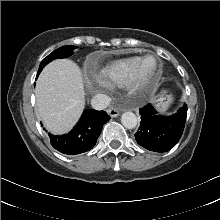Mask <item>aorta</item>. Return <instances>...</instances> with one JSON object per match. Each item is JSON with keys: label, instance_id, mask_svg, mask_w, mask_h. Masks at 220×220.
I'll return each instance as SVG.
<instances>
[{"label": "aorta", "instance_id": "aorta-1", "mask_svg": "<svg viewBox=\"0 0 220 220\" xmlns=\"http://www.w3.org/2000/svg\"><path fill=\"white\" fill-rule=\"evenodd\" d=\"M121 122L127 129H134L137 126V117L133 112H125L121 116Z\"/></svg>", "mask_w": 220, "mask_h": 220}]
</instances>
